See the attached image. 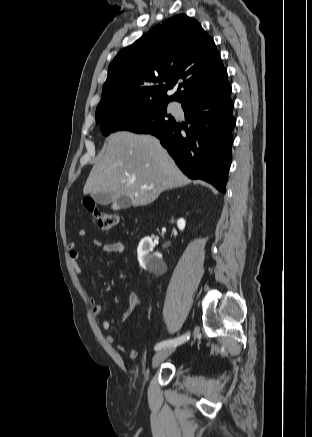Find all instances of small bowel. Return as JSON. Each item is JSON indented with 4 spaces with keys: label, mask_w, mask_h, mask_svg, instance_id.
I'll return each instance as SVG.
<instances>
[{
    "label": "small bowel",
    "mask_w": 312,
    "mask_h": 437,
    "mask_svg": "<svg viewBox=\"0 0 312 437\" xmlns=\"http://www.w3.org/2000/svg\"><path fill=\"white\" fill-rule=\"evenodd\" d=\"M86 234L84 229H80L77 231L76 233V237L81 238L84 237ZM94 244L96 246H99L102 248V251L104 253L110 254V253H121L124 251L125 246L123 244V242L121 241H112V242H106L103 243L100 240H95ZM68 254H69V258L70 261L75 269V271L80 275L81 274V269L78 265V258H79V253L76 249V243L75 242H70L68 244ZM90 303L92 305V312L94 315H99L102 311V304H100L99 302H97L96 298L94 296L90 297ZM141 303V297L135 293V292H131L130 297H129V303L128 306L126 308V310L122 313V315L117 318V319H105L101 322L100 324V329L103 332H107L111 329V327L119 322H123L126 319L129 318V316L132 314V312L134 311V309ZM106 341L107 343H109L110 345L115 344V338L112 335H107L106 336ZM117 349L120 352L125 353L128 357L130 358H135L136 357V351L134 349L131 348H126L124 345L122 344H118L117 345Z\"/></svg>",
    "instance_id": "small-bowel-1"
}]
</instances>
